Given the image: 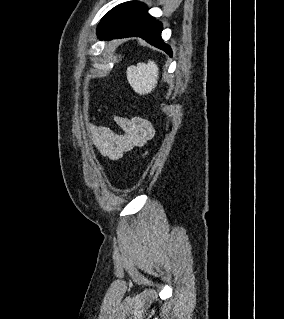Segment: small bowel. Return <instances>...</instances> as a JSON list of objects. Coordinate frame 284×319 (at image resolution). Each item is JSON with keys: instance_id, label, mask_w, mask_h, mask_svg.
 Returning <instances> with one entry per match:
<instances>
[{"instance_id": "c3829d8e", "label": "small bowel", "mask_w": 284, "mask_h": 319, "mask_svg": "<svg viewBox=\"0 0 284 319\" xmlns=\"http://www.w3.org/2000/svg\"><path fill=\"white\" fill-rule=\"evenodd\" d=\"M114 122L120 133L109 127L89 125L93 143L103 158L117 160L145 145L155 135L152 124L142 117L115 116Z\"/></svg>"}]
</instances>
